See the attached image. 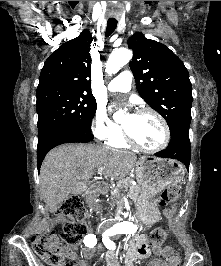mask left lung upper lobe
Listing matches in <instances>:
<instances>
[{"instance_id":"5c2ea615","label":"left lung upper lobe","mask_w":221,"mask_h":266,"mask_svg":"<svg viewBox=\"0 0 221 266\" xmlns=\"http://www.w3.org/2000/svg\"><path fill=\"white\" fill-rule=\"evenodd\" d=\"M130 69L140 96L166 120L171 136L189 131L192 85L183 62L164 44L135 33Z\"/></svg>"}]
</instances>
